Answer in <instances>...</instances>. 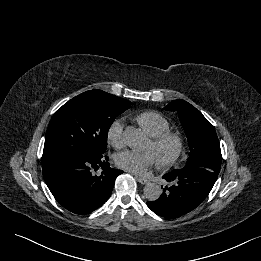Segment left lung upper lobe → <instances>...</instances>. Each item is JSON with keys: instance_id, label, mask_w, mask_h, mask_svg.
<instances>
[{"instance_id": "1", "label": "left lung upper lobe", "mask_w": 261, "mask_h": 261, "mask_svg": "<svg viewBox=\"0 0 261 261\" xmlns=\"http://www.w3.org/2000/svg\"><path fill=\"white\" fill-rule=\"evenodd\" d=\"M164 109L178 112L190 147L186 166L205 167L219 172L222 161L220 143L213 126L202 113L181 99L171 101Z\"/></svg>"}]
</instances>
